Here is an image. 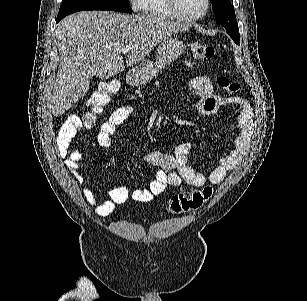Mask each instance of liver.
I'll use <instances>...</instances> for the list:
<instances>
[{
  "label": "liver",
  "mask_w": 307,
  "mask_h": 301,
  "mask_svg": "<svg viewBox=\"0 0 307 301\" xmlns=\"http://www.w3.org/2000/svg\"><path fill=\"white\" fill-rule=\"evenodd\" d=\"M170 18L150 14H120L82 10L65 16L56 26L60 54L51 112L61 116L89 90L92 76L111 78L150 54L158 42L190 30ZM129 46L125 64L121 48Z\"/></svg>",
  "instance_id": "liver-1"
}]
</instances>
